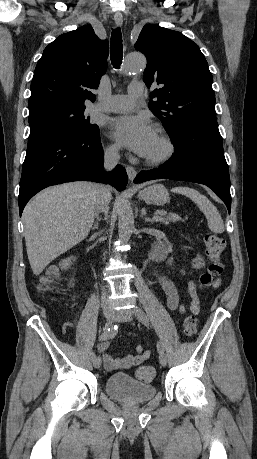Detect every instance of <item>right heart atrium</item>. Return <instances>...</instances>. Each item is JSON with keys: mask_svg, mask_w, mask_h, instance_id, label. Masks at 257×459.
Here are the masks:
<instances>
[{"mask_svg": "<svg viewBox=\"0 0 257 459\" xmlns=\"http://www.w3.org/2000/svg\"><path fill=\"white\" fill-rule=\"evenodd\" d=\"M105 152L110 159H116L119 155V146L117 144H109Z\"/></svg>", "mask_w": 257, "mask_h": 459, "instance_id": "obj_1", "label": "right heart atrium"}]
</instances>
